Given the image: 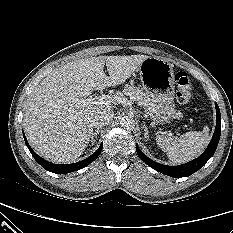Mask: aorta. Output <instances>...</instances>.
<instances>
[{
	"label": "aorta",
	"instance_id": "1",
	"mask_svg": "<svg viewBox=\"0 0 233 233\" xmlns=\"http://www.w3.org/2000/svg\"><path fill=\"white\" fill-rule=\"evenodd\" d=\"M135 120L132 117H122L120 120V126L122 128L128 129V130H132L135 128Z\"/></svg>",
	"mask_w": 233,
	"mask_h": 233
}]
</instances>
